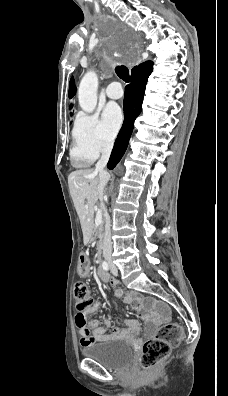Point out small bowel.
I'll list each match as a JSON object with an SVG mask.
<instances>
[{"label": "small bowel", "mask_w": 228, "mask_h": 396, "mask_svg": "<svg viewBox=\"0 0 228 396\" xmlns=\"http://www.w3.org/2000/svg\"><path fill=\"white\" fill-rule=\"evenodd\" d=\"M79 270L82 275H87L90 270L89 260L86 255H81L79 261ZM110 286L116 288L112 302L115 303L117 299L123 298L125 304H129L144 320L145 333L151 334L158 325L166 321L168 318L167 307L156 300L146 298L134 293H126L123 289L118 287V281L108 276ZM96 309V306L87 309V315H91ZM125 328H114L111 333H107L110 322L107 318L102 317L89 322L88 326L79 329L80 342L83 346L92 343L106 341L110 339L127 338L138 335L141 332V326L137 320H125Z\"/></svg>", "instance_id": "obj_1"}]
</instances>
